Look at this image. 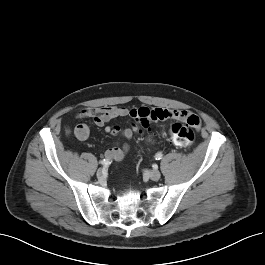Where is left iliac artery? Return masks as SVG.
Returning <instances> with one entry per match:
<instances>
[{"label":"left iliac artery","mask_w":265,"mask_h":265,"mask_svg":"<svg viewBox=\"0 0 265 265\" xmlns=\"http://www.w3.org/2000/svg\"><path fill=\"white\" fill-rule=\"evenodd\" d=\"M163 158V154L162 153H157L156 155H155V159L156 160H160V159H162Z\"/></svg>","instance_id":"obj_1"}]
</instances>
